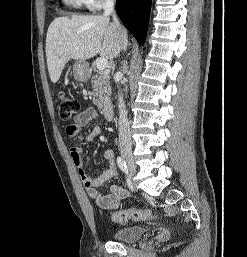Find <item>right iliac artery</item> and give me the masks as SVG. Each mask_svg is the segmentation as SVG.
Returning <instances> with one entry per match:
<instances>
[{"label": "right iliac artery", "instance_id": "obj_1", "mask_svg": "<svg viewBox=\"0 0 247 257\" xmlns=\"http://www.w3.org/2000/svg\"><path fill=\"white\" fill-rule=\"evenodd\" d=\"M117 165L118 167L120 168V170L122 172H126L127 171V165H126V162L124 161V159L120 156L117 157Z\"/></svg>", "mask_w": 247, "mask_h": 257}]
</instances>
